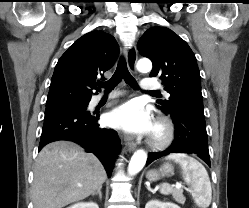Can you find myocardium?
Wrapping results in <instances>:
<instances>
[{"instance_id": "myocardium-1", "label": "myocardium", "mask_w": 249, "mask_h": 208, "mask_svg": "<svg viewBox=\"0 0 249 208\" xmlns=\"http://www.w3.org/2000/svg\"><path fill=\"white\" fill-rule=\"evenodd\" d=\"M174 138V128L172 123L166 118H159L152 137L150 145L155 148H162L169 145Z\"/></svg>"}]
</instances>
